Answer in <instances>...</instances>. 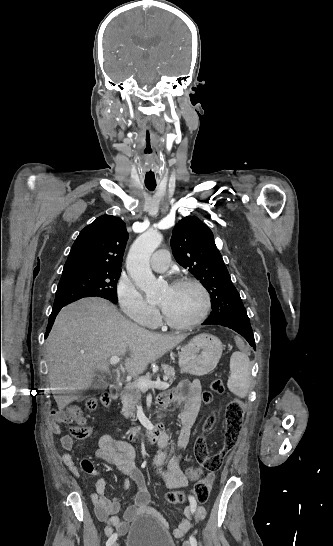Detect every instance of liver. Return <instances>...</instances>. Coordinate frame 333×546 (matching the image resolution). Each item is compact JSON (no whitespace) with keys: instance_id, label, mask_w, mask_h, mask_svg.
<instances>
[{"instance_id":"1","label":"liver","mask_w":333,"mask_h":546,"mask_svg":"<svg viewBox=\"0 0 333 546\" xmlns=\"http://www.w3.org/2000/svg\"><path fill=\"white\" fill-rule=\"evenodd\" d=\"M186 337L147 331L104 299L86 298L67 305L56 317L46 343L50 385L57 394L58 409L76 399L65 394L91 386L95 370L108 371L112 356H126L124 369L138 375Z\"/></svg>"}]
</instances>
